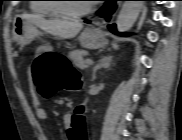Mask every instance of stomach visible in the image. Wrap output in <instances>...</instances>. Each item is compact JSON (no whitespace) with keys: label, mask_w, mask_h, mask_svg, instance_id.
Returning <instances> with one entry per match:
<instances>
[{"label":"stomach","mask_w":182,"mask_h":140,"mask_svg":"<svg viewBox=\"0 0 182 140\" xmlns=\"http://www.w3.org/2000/svg\"><path fill=\"white\" fill-rule=\"evenodd\" d=\"M38 31L35 26L22 16L14 19L13 38L19 45H27L36 36ZM81 45L88 49H98L106 44L102 33L93 28H86L79 36Z\"/></svg>","instance_id":"0dacf381"}]
</instances>
